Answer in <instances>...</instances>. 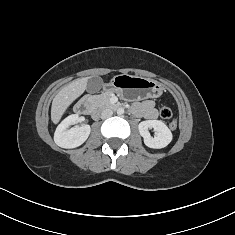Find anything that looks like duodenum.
Returning a JSON list of instances; mask_svg holds the SVG:
<instances>
[{
    "instance_id": "1",
    "label": "duodenum",
    "mask_w": 235,
    "mask_h": 235,
    "mask_svg": "<svg viewBox=\"0 0 235 235\" xmlns=\"http://www.w3.org/2000/svg\"><path fill=\"white\" fill-rule=\"evenodd\" d=\"M75 111L77 113H90L92 112L93 116H96L97 113L92 111V103H91V97L87 96L80 100L76 105H75Z\"/></svg>"
}]
</instances>
